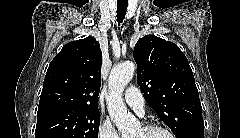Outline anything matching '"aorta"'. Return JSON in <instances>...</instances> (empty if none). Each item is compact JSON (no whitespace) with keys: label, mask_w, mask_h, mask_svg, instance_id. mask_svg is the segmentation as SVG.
Masks as SVG:
<instances>
[{"label":"aorta","mask_w":240,"mask_h":138,"mask_svg":"<svg viewBox=\"0 0 240 138\" xmlns=\"http://www.w3.org/2000/svg\"><path fill=\"white\" fill-rule=\"evenodd\" d=\"M135 65L133 62H125L114 66L109 75V95L107 97V108L111 120L115 123L123 138L133 136L138 122L123 101L122 94L133 77Z\"/></svg>","instance_id":"1"}]
</instances>
